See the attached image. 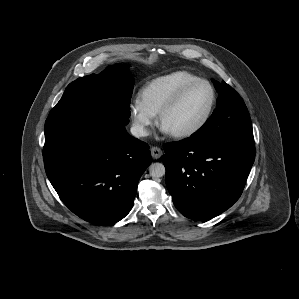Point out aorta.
Here are the masks:
<instances>
[{
	"label": "aorta",
	"mask_w": 299,
	"mask_h": 299,
	"mask_svg": "<svg viewBox=\"0 0 299 299\" xmlns=\"http://www.w3.org/2000/svg\"><path fill=\"white\" fill-rule=\"evenodd\" d=\"M149 173L153 178H159L165 175V167L162 163H152L149 166Z\"/></svg>",
	"instance_id": "obj_1"
}]
</instances>
